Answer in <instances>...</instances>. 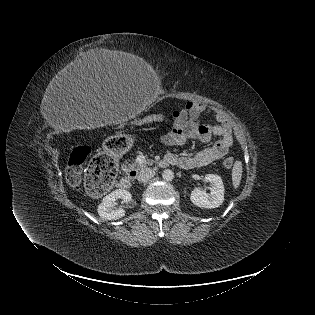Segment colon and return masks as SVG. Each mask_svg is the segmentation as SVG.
<instances>
[{
    "instance_id": "obj_1",
    "label": "colon",
    "mask_w": 315,
    "mask_h": 315,
    "mask_svg": "<svg viewBox=\"0 0 315 315\" xmlns=\"http://www.w3.org/2000/svg\"><path fill=\"white\" fill-rule=\"evenodd\" d=\"M161 119L158 115L149 116L139 122L140 125L150 124ZM90 154L87 146H78L70 154L66 168V179L68 183L78 188L82 181L83 164ZM226 168L234 165L233 158H226L223 162ZM117 173V165L112 157L107 154L95 156L85 173L84 185L86 190L95 196L105 194L113 184Z\"/></svg>"
}]
</instances>
